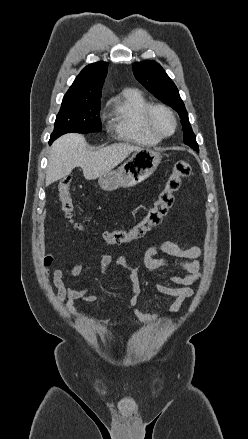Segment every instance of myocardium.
Instances as JSON below:
<instances>
[{"mask_svg": "<svg viewBox=\"0 0 248 439\" xmlns=\"http://www.w3.org/2000/svg\"><path fill=\"white\" fill-rule=\"evenodd\" d=\"M157 110L165 111L170 116V118L172 120V123H173V129H172V131L170 133H167V134L162 133L155 126L154 114H155V112ZM145 122H146V125L149 128V130L153 134L158 136L160 139H164V138H168V137L172 136L176 132L177 125H178L177 118H176L175 113L173 112V110L169 106H167L165 104H161V103L151 104L147 108V110L145 112Z\"/></svg>", "mask_w": 248, "mask_h": 439, "instance_id": "obj_1", "label": "myocardium"}]
</instances>
